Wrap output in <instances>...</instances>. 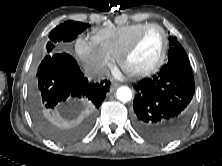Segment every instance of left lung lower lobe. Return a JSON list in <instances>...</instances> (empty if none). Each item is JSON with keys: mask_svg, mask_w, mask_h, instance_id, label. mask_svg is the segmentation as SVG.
Here are the masks:
<instances>
[{"mask_svg": "<svg viewBox=\"0 0 222 166\" xmlns=\"http://www.w3.org/2000/svg\"><path fill=\"white\" fill-rule=\"evenodd\" d=\"M136 130L156 143L176 139L190 120L194 77L190 63H172L134 86Z\"/></svg>", "mask_w": 222, "mask_h": 166, "instance_id": "0a47b994", "label": "left lung lower lobe"}]
</instances>
